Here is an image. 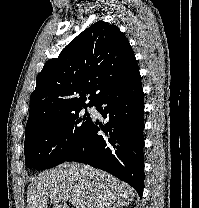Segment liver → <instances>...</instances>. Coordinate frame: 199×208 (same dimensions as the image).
Masks as SVG:
<instances>
[{
  "label": "liver",
  "instance_id": "liver-1",
  "mask_svg": "<svg viewBox=\"0 0 199 208\" xmlns=\"http://www.w3.org/2000/svg\"><path fill=\"white\" fill-rule=\"evenodd\" d=\"M135 191L127 183L105 171L80 163H63L41 172L28 187L27 208H69L74 201L81 208H116L134 200Z\"/></svg>",
  "mask_w": 199,
  "mask_h": 208
}]
</instances>
